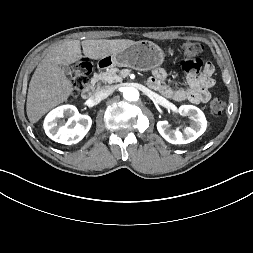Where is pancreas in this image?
Returning <instances> with one entry per match:
<instances>
[{"label":"pancreas","mask_w":253,"mask_h":253,"mask_svg":"<svg viewBox=\"0 0 253 253\" xmlns=\"http://www.w3.org/2000/svg\"><path fill=\"white\" fill-rule=\"evenodd\" d=\"M117 72H119V69L111 67L105 72H101L97 76V80L103 82V83H115L122 81V78L117 75Z\"/></svg>","instance_id":"obj_1"}]
</instances>
